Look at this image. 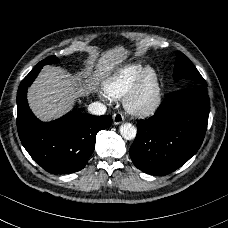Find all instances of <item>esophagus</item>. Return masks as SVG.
<instances>
[{"mask_svg": "<svg viewBox=\"0 0 228 228\" xmlns=\"http://www.w3.org/2000/svg\"><path fill=\"white\" fill-rule=\"evenodd\" d=\"M123 121H124V116L121 112H116L113 115V123L115 125H118V124L122 123Z\"/></svg>", "mask_w": 228, "mask_h": 228, "instance_id": "34e87169", "label": "esophagus"}]
</instances>
